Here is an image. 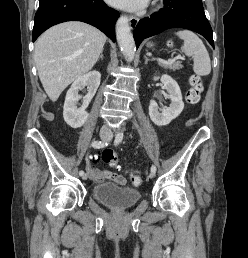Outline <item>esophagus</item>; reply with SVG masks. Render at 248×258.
Wrapping results in <instances>:
<instances>
[{"instance_id": "obj_1", "label": "esophagus", "mask_w": 248, "mask_h": 258, "mask_svg": "<svg viewBox=\"0 0 248 258\" xmlns=\"http://www.w3.org/2000/svg\"><path fill=\"white\" fill-rule=\"evenodd\" d=\"M139 19L133 15L129 16V23H130V27L133 29L136 27V25L138 24Z\"/></svg>"}]
</instances>
